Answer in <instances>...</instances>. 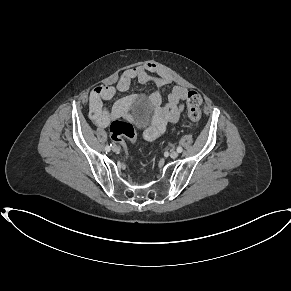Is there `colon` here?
<instances>
[{"mask_svg":"<svg viewBox=\"0 0 291 291\" xmlns=\"http://www.w3.org/2000/svg\"><path fill=\"white\" fill-rule=\"evenodd\" d=\"M187 114L190 120L197 121L200 118V107L202 104V97L196 91H190L187 94ZM110 132L112 138L118 142L125 150L123 137L130 142H135L136 132L134 126L127 121L115 120L111 123Z\"/></svg>","mask_w":291,"mask_h":291,"instance_id":"obj_1","label":"colon"}]
</instances>
